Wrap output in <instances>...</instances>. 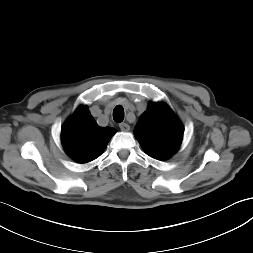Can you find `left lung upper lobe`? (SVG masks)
Instances as JSON below:
<instances>
[{
	"label": "left lung upper lobe",
	"instance_id": "1",
	"mask_svg": "<svg viewBox=\"0 0 253 253\" xmlns=\"http://www.w3.org/2000/svg\"><path fill=\"white\" fill-rule=\"evenodd\" d=\"M183 132V125L172 110L164 103L153 102L134 128L146 154L158 160H166L178 150Z\"/></svg>",
	"mask_w": 253,
	"mask_h": 253
}]
</instances>
